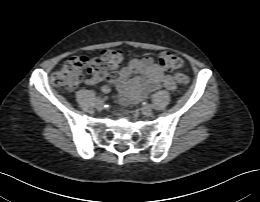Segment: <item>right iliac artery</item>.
I'll return each mask as SVG.
<instances>
[{
    "mask_svg": "<svg viewBox=\"0 0 260 202\" xmlns=\"http://www.w3.org/2000/svg\"><path fill=\"white\" fill-rule=\"evenodd\" d=\"M97 100L100 101V100H103V98L102 97H98Z\"/></svg>",
    "mask_w": 260,
    "mask_h": 202,
    "instance_id": "right-iliac-artery-1",
    "label": "right iliac artery"
}]
</instances>
